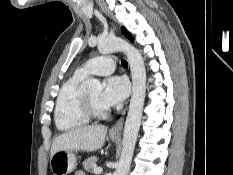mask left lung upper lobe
<instances>
[{
	"instance_id": "5c2ea615",
	"label": "left lung upper lobe",
	"mask_w": 233,
	"mask_h": 175,
	"mask_svg": "<svg viewBox=\"0 0 233 175\" xmlns=\"http://www.w3.org/2000/svg\"><path fill=\"white\" fill-rule=\"evenodd\" d=\"M122 32L128 39L133 41V38H132L131 34L124 27H122Z\"/></svg>"
}]
</instances>
